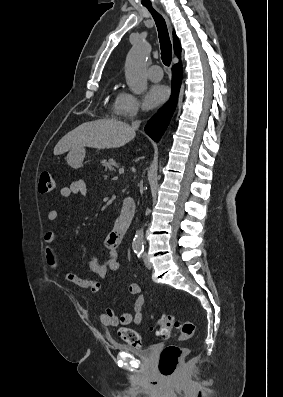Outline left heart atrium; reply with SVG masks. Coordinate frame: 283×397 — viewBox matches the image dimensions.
<instances>
[{"label":"left heart atrium","instance_id":"39dd6f15","mask_svg":"<svg viewBox=\"0 0 283 397\" xmlns=\"http://www.w3.org/2000/svg\"><path fill=\"white\" fill-rule=\"evenodd\" d=\"M168 94L169 90L165 85L155 84L150 86L145 95L146 108H157L167 99Z\"/></svg>","mask_w":283,"mask_h":397}]
</instances>
